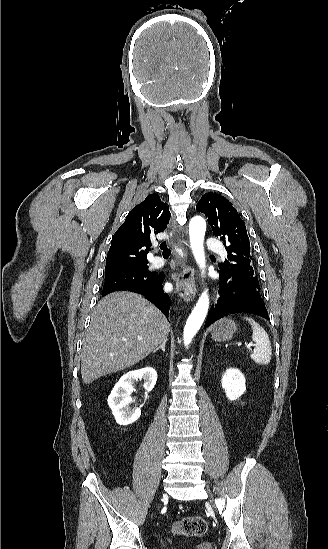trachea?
<instances>
[{"instance_id": "obj_1", "label": "trachea", "mask_w": 328, "mask_h": 549, "mask_svg": "<svg viewBox=\"0 0 328 549\" xmlns=\"http://www.w3.org/2000/svg\"><path fill=\"white\" fill-rule=\"evenodd\" d=\"M160 249H162L164 256H169L171 254V250L167 247L166 242H162Z\"/></svg>"}]
</instances>
